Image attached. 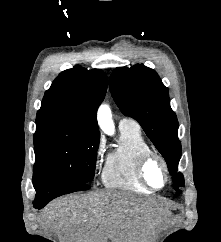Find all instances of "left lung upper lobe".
Listing matches in <instances>:
<instances>
[{
  "label": "left lung upper lobe",
  "instance_id": "1",
  "mask_svg": "<svg viewBox=\"0 0 221 242\" xmlns=\"http://www.w3.org/2000/svg\"><path fill=\"white\" fill-rule=\"evenodd\" d=\"M112 96L125 116L137 120L174 174V188L184 186L177 172L181 157L178 120L170 107L168 89L158 74L142 64L116 68L109 82Z\"/></svg>",
  "mask_w": 221,
  "mask_h": 242
}]
</instances>
